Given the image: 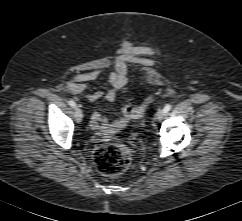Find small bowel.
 Listing matches in <instances>:
<instances>
[{
  "mask_svg": "<svg viewBox=\"0 0 242 221\" xmlns=\"http://www.w3.org/2000/svg\"><path fill=\"white\" fill-rule=\"evenodd\" d=\"M135 62V57L130 54L119 56L113 64V70L108 76L109 87L105 90L91 91L88 83L99 77V70L76 72L66 83L67 89L74 95L82 96L88 101L94 102L101 98L112 102L118 91L125 89L127 83V65ZM89 127L100 133H109L113 129L112 123L99 113H93L90 117Z\"/></svg>",
  "mask_w": 242,
  "mask_h": 221,
  "instance_id": "c3829d8e",
  "label": "small bowel"
}]
</instances>
